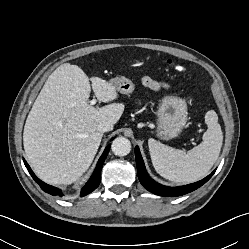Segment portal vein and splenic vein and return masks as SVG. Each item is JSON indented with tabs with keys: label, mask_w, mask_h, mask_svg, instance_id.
Listing matches in <instances>:
<instances>
[{
	"label": "portal vein and splenic vein",
	"mask_w": 249,
	"mask_h": 249,
	"mask_svg": "<svg viewBox=\"0 0 249 249\" xmlns=\"http://www.w3.org/2000/svg\"><path fill=\"white\" fill-rule=\"evenodd\" d=\"M96 104V99H93V100H91L90 101V105L92 106V105H95Z\"/></svg>",
	"instance_id": "portal-vein-and-splenic-vein-1"
}]
</instances>
